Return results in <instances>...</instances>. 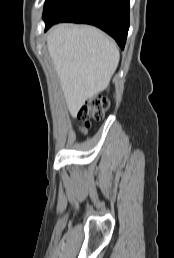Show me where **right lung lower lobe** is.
Segmentation results:
<instances>
[{"mask_svg": "<svg viewBox=\"0 0 174 258\" xmlns=\"http://www.w3.org/2000/svg\"><path fill=\"white\" fill-rule=\"evenodd\" d=\"M59 22L97 26L124 49L129 29V0H65L45 20V30Z\"/></svg>", "mask_w": 174, "mask_h": 258, "instance_id": "1", "label": "right lung lower lobe"}]
</instances>
